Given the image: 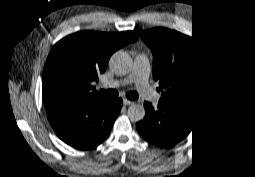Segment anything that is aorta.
Returning <instances> with one entry per match:
<instances>
[{
  "label": "aorta",
  "mask_w": 255,
  "mask_h": 177,
  "mask_svg": "<svg viewBox=\"0 0 255 177\" xmlns=\"http://www.w3.org/2000/svg\"><path fill=\"white\" fill-rule=\"evenodd\" d=\"M131 58L124 51H117L111 57L110 63L116 72H121L129 65ZM145 110L142 106L134 104L128 110V117L132 122H138L144 118Z\"/></svg>",
  "instance_id": "obj_1"
}]
</instances>
